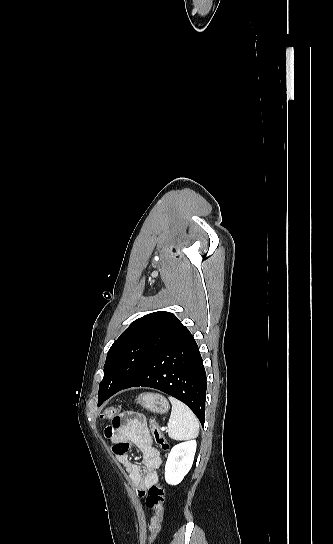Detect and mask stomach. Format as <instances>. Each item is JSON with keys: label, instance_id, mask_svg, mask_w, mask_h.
Masks as SVG:
<instances>
[{"label": "stomach", "instance_id": "stomach-1", "mask_svg": "<svg viewBox=\"0 0 333 544\" xmlns=\"http://www.w3.org/2000/svg\"><path fill=\"white\" fill-rule=\"evenodd\" d=\"M137 403L152 412L160 414H164L169 410L168 400L164 396L156 393L141 394L137 399Z\"/></svg>", "mask_w": 333, "mask_h": 544}]
</instances>
